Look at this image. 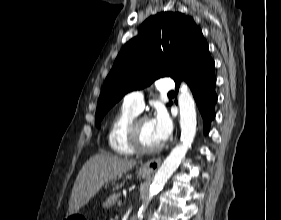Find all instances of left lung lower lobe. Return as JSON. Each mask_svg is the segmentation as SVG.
<instances>
[{
	"mask_svg": "<svg viewBox=\"0 0 281 220\" xmlns=\"http://www.w3.org/2000/svg\"><path fill=\"white\" fill-rule=\"evenodd\" d=\"M214 68L215 63L208 50L194 58L184 74L175 81L177 91L182 79L188 83L203 118L205 134L208 133L210 123L215 118L214 106L217 102V95Z\"/></svg>",
	"mask_w": 281,
	"mask_h": 220,
	"instance_id": "obj_1",
	"label": "left lung lower lobe"
}]
</instances>
